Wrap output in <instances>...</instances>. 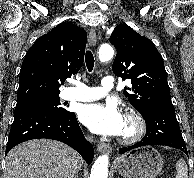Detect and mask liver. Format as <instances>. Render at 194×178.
Here are the masks:
<instances>
[{
  "label": "liver",
  "mask_w": 194,
  "mask_h": 178,
  "mask_svg": "<svg viewBox=\"0 0 194 178\" xmlns=\"http://www.w3.org/2000/svg\"><path fill=\"white\" fill-rule=\"evenodd\" d=\"M82 163V157L64 143L34 139L8 153L3 178H74Z\"/></svg>",
  "instance_id": "liver-1"
}]
</instances>
